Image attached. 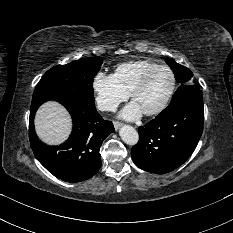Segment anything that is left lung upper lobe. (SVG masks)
I'll return each mask as SVG.
<instances>
[{"label": "left lung upper lobe", "mask_w": 233, "mask_h": 233, "mask_svg": "<svg viewBox=\"0 0 233 233\" xmlns=\"http://www.w3.org/2000/svg\"><path fill=\"white\" fill-rule=\"evenodd\" d=\"M166 63L171 67L175 74V78L178 82L181 83V86L177 89L176 93L173 95V98L170 102V105L164 109L160 114L166 113L173 104L180 101L185 96L200 91L197 85H192L190 79L193 76V73L186 67L175 62L174 59L167 58Z\"/></svg>", "instance_id": "1"}]
</instances>
